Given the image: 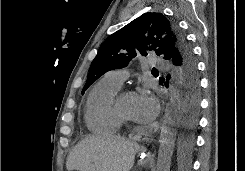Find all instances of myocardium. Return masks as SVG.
Segmentation results:
<instances>
[{
  "label": "myocardium",
  "mask_w": 245,
  "mask_h": 171,
  "mask_svg": "<svg viewBox=\"0 0 245 171\" xmlns=\"http://www.w3.org/2000/svg\"><path fill=\"white\" fill-rule=\"evenodd\" d=\"M124 95H134V91H132V90H126V91H123L122 93H120V94L117 96V98H116V100H115V102H114V104H113V107H114V111H115L117 117L119 118V120H120L122 123L131 124V123L133 122L132 119L129 118V117H127L126 115H124V114L120 111V109H119V107H118V101H119V99H120L122 96H124Z\"/></svg>",
  "instance_id": "f54148a6"
}]
</instances>
